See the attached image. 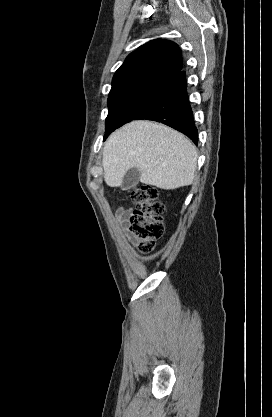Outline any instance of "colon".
<instances>
[{"instance_id":"colon-1","label":"colon","mask_w":272,"mask_h":417,"mask_svg":"<svg viewBox=\"0 0 272 417\" xmlns=\"http://www.w3.org/2000/svg\"><path fill=\"white\" fill-rule=\"evenodd\" d=\"M135 209L129 217V229L139 241L142 252L147 253L164 234V205L158 200V190L142 184L131 192Z\"/></svg>"}]
</instances>
